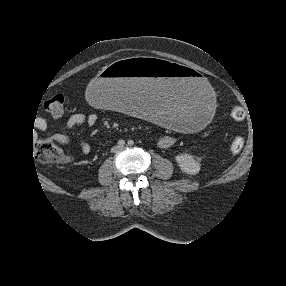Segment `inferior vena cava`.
Returning <instances> with one entry per match:
<instances>
[{
    "label": "inferior vena cava",
    "instance_id": "1",
    "mask_svg": "<svg viewBox=\"0 0 286 286\" xmlns=\"http://www.w3.org/2000/svg\"><path fill=\"white\" fill-rule=\"evenodd\" d=\"M117 148H112V152H115Z\"/></svg>",
    "mask_w": 286,
    "mask_h": 286
}]
</instances>
